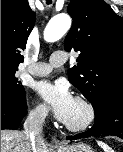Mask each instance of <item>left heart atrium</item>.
I'll use <instances>...</instances> for the list:
<instances>
[{"instance_id": "left-heart-atrium-1", "label": "left heart atrium", "mask_w": 123, "mask_h": 152, "mask_svg": "<svg viewBox=\"0 0 123 152\" xmlns=\"http://www.w3.org/2000/svg\"><path fill=\"white\" fill-rule=\"evenodd\" d=\"M36 93L44 105L61 121L66 122L74 104L67 85L62 81H40Z\"/></svg>"}]
</instances>
